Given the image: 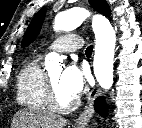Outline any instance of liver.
<instances>
[{"label":"liver","instance_id":"obj_1","mask_svg":"<svg viewBox=\"0 0 142 128\" xmlns=\"http://www.w3.org/2000/svg\"><path fill=\"white\" fill-rule=\"evenodd\" d=\"M66 119L44 109H22L12 120L11 128H64Z\"/></svg>","mask_w":142,"mask_h":128}]
</instances>
